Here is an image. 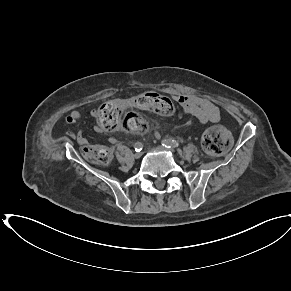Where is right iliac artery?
I'll use <instances>...</instances> for the list:
<instances>
[{
  "label": "right iliac artery",
  "mask_w": 291,
  "mask_h": 291,
  "mask_svg": "<svg viewBox=\"0 0 291 291\" xmlns=\"http://www.w3.org/2000/svg\"><path fill=\"white\" fill-rule=\"evenodd\" d=\"M142 148H143L142 143H140V142L135 143V151L136 152H140L142 150Z\"/></svg>",
  "instance_id": "obj_1"
}]
</instances>
